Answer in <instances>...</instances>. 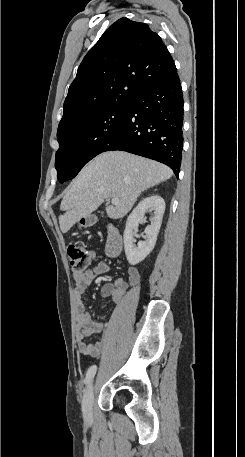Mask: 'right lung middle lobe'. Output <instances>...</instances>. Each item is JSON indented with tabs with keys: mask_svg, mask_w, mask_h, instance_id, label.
<instances>
[{
	"mask_svg": "<svg viewBox=\"0 0 245 457\" xmlns=\"http://www.w3.org/2000/svg\"><path fill=\"white\" fill-rule=\"evenodd\" d=\"M131 100L111 102L58 126L55 168L63 183L100 154L113 140L130 109Z\"/></svg>",
	"mask_w": 245,
	"mask_h": 457,
	"instance_id": "obj_1",
	"label": "right lung middle lobe"
}]
</instances>
